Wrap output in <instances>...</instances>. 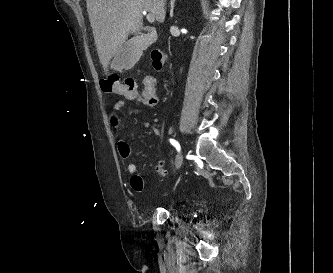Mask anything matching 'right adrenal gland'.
<instances>
[{
	"instance_id": "obj_1",
	"label": "right adrenal gland",
	"mask_w": 333,
	"mask_h": 273,
	"mask_svg": "<svg viewBox=\"0 0 333 273\" xmlns=\"http://www.w3.org/2000/svg\"><path fill=\"white\" fill-rule=\"evenodd\" d=\"M176 0H171L170 2V17L174 16V4Z\"/></svg>"
}]
</instances>
